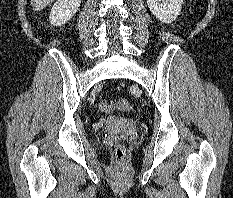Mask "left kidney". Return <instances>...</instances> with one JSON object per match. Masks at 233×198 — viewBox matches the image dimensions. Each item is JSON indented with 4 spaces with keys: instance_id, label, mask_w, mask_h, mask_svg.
<instances>
[{
    "instance_id": "5707ae66",
    "label": "left kidney",
    "mask_w": 233,
    "mask_h": 198,
    "mask_svg": "<svg viewBox=\"0 0 233 198\" xmlns=\"http://www.w3.org/2000/svg\"><path fill=\"white\" fill-rule=\"evenodd\" d=\"M183 0H147L151 13L163 23L176 20L181 12Z\"/></svg>"
}]
</instances>
